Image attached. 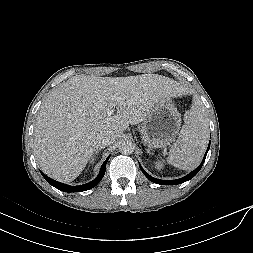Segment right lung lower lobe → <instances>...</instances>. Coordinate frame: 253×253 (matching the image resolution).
Returning <instances> with one entry per match:
<instances>
[{
	"label": "right lung lower lobe",
	"instance_id": "obj_1",
	"mask_svg": "<svg viewBox=\"0 0 253 253\" xmlns=\"http://www.w3.org/2000/svg\"><path fill=\"white\" fill-rule=\"evenodd\" d=\"M110 156H108V158L104 161V163L101 166L100 172L98 174V176L91 182L84 184V185H80V186H69L63 183H60L58 181H55L51 178H49L48 176H46L45 174H43L41 172V174L43 175V177L47 180V182L49 184H51L52 186H54L55 188L64 191V192H81V191H86L89 190L93 187H95L103 178L104 174H105V170H106V163L108 161Z\"/></svg>",
	"mask_w": 253,
	"mask_h": 253
}]
</instances>
